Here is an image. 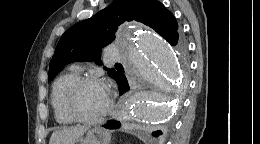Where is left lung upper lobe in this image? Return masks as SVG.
I'll list each match as a JSON object with an SVG mask.
<instances>
[{"mask_svg": "<svg viewBox=\"0 0 260 144\" xmlns=\"http://www.w3.org/2000/svg\"><path fill=\"white\" fill-rule=\"evenodd\" d=\"M132 20L153 28L168 42L178 32L174 15L161 2L114 0L105 9L73 25L62 35L50 61L48 81L52 80L63 66L72 62L97 61L100 64L101 48L114 41L121 23ZM175 46L182 52L186 50L184 42ZM104 69L114 80L121 75V71L113 68Z\"/></svg>", "mask_w": 260, "mask_h": 144, "instance_id": "left-lung-upper-lobe-1", "label": "left lung upper lobe"}]
</instances>
